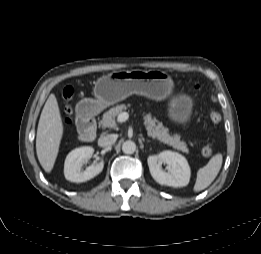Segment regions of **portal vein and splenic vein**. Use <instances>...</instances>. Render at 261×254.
<instances>
[{"mask_svg":"<svg viewBox=\"0 0 261 254\" xmlns=\"http://www.w3.org/2000/svg\"><path fill=\"white\" fill-rule=\"evenodd\" d=\"M128 118H129V114H128L127 112H122V113H120V114L118 115L117 120H118V122H121V123H122V122L127 121Z\"/></svg>","mask_w":261,"mask_h":254,"instance_id":"18ae733b","label":"portal vein and splenic vein"}]
</instances>
